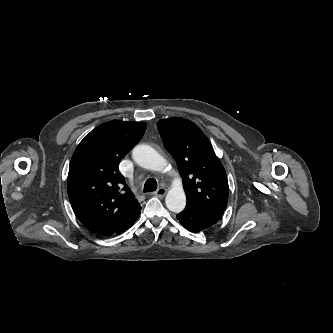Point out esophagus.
Instances as JSON below:
<instances>
[{
	"instance_id": "esophagus-1",
	"label": "esophagus",
	"mask_w": 333,
	"mask_h": 333,
	"mask_svg": "<svg viewBox=\"0 0 333 333\" xmlns=\"http://www.w3.org/2000/svg\"><path fill=\"white\" fill-rule=\"evenodd\" d=\"M166 189L165 188H159L156 192L153 193V195L158 197H164L166 195Z\"/></svg>"
}]
</instances>
